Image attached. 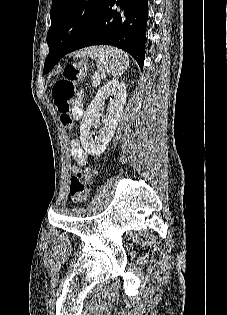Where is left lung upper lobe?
I'll list each match as a JSON object with an SVG mask.
<instances>
[{
  "label": "left lung upper lobe",
  "mask_w": 227,
  "mask_h": 315,
  "mask_svg": "<svg viewBox=\"0 0 227 315\" xmlns=\"http://www.w3.org/2000/svg\"><path fill=\"white\" fill-rule=\"evenodd\" d=\"M105 1L53 0L47 41L57 37L61 38L66 46L75 44L97 18Z\"/></svg>",
  "instance_id": "left-lung-upper-lobe-1"
}]
</instances>
